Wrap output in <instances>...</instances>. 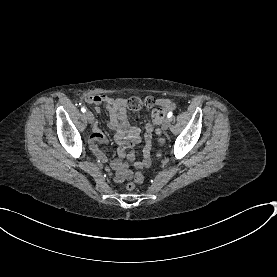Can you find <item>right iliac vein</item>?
Instances as JSON below:
<instances>
[{"label": "right iliac vein", "instance_id": "63e3f726", "mask_svg": "<svg viewBox=\"0 0 277 277\" xmlns=\"http://www.w3.org/2000/svg\"><path fill=\"white\" fill-rule=\"evenodd\" d=\"M86 118H87V120L89 121V123L92 124V123L94 122V115H93L92 112L88 111V112L86 113Z\"/></svg>", "mask_w": 277, "mask_h": 277}]
</instances>
